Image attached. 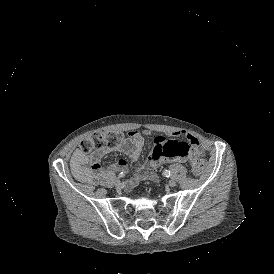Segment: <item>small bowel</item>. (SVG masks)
<instances>
[{"instance_id":"obj_1","label":"small bowel","mask_w":274,"mask_h":274,"mask_svg":"<svg viewBox=\"0 0 274 274\" xmlns=\"http://www.w3.org/2000/svg\"><path fill=\"white\" fill-rule=\"evenodd\" d=\"M177 134L184 135L188 139L192 150H198L203 156L204 151L202 144L195 135L184 131L178 132ZM149 135V130L132 131L129 132L127 138H121V140L115 144L107 143L92 154L76 150L71 157V169L74 176L80 181L87 183L92 182L102 172L101 160L114 151L125 152L129 155L131 162L136 165L145 143V137ZM151 140L152 144L146 155L147 159L150 162H153L149 165L151 172L142 177L138 175L137 179L157 181L158 177L155 170L159 167V164L154 162L159 161L164 165H171L178 162L183 165L189 161L188 153L190 150L183 140H175L171 137L168 138V136L162 132L155 133ZM127 167V160L119 159L110 167V169L113 171H121L125 170ZM137 179L129 181L127 188H133L137 183Z\"/></svg>"}]
</instances>
